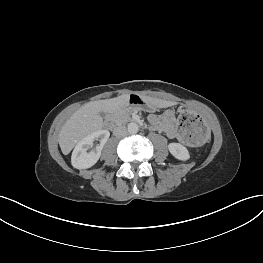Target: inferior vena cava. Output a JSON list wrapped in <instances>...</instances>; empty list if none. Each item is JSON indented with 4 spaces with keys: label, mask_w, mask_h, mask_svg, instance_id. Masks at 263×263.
Listing matches in <instances>:
<instances>
[{
    "label": "inferior vena cava",
    "mask_w": 263,
    "mask_h": 263,
    "mask_svg": "<svg viewBox=\"0 0 263 263\" xmlns=\"http://www.w3.org/2000/svg\"><path fill=\"white\" fill-rule=\"evenodd\" d=\"M113 133L117 137H123L127 134V129L125 126L120 125L114 128Z\"/></svg>",
    "instance_id": "1"
}]
</instances>
